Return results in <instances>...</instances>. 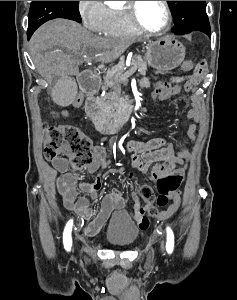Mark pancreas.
<instances>
[{"label": "pancreas", "instance_id": "pancreas-1", "mask_svg": "<svg viewBox=\"0 0 237 300\" xmlns=\"http://www.w3.org/2000/svg\"><path fill=\"white\" fill-rule=\"evenodd\" d=\"M132 63H134V66H136L135 70L138 71L139 75H145L147 71V63L143 61L141 55H134V57H132ZM123 73H126L124 69L112 67V69L108 71L107 75L103 77L101 89H112V87H116V85H121V83H123L121 80ZM124 77L127 79L128 76ZM103 99L102 111L105 113L106 117H111V119H119L121 115V101L118 99L117 95H114V93H107Z\"/></svg>", "mask_w": 237, "mask_h": 300}]
</instances>
